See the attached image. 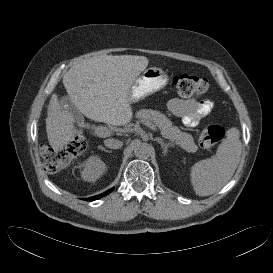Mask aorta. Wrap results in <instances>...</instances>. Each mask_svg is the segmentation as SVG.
<instances>
[{
  "mask_svg": "<svg viewBox=\"0 0 273 273\" xmlns=\"http://www.w3.org/2000/svg\"><path fill=\"white\" fill-rule=\"evenodd\" d=\"M151 154V146L145 142H138L134 146V155L139 159H146Z\"/></svg>",
  "mask_w": 273,
  "mask_h": 273,
  "instance_id": "obj_1",
  "label": "aorta"
}]
</instances>
